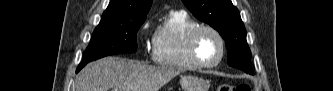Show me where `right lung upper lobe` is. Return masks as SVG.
Here are the masks:
<instances>
[{
    "label": "right lung upper lobe",
    "instance_id": "right-lung-upper-lobe-1",
    "mask_svg": "<svg viewBox=\"0 0 333 91\" xmlns=\"http://www.w3.org/2000/svg\"><path fill=\"white\" fill-rule=\"evenodd\" d=\"M152 0H111L102 18L133 19L146 17Z\"/></svg>",
    "mask_w": 333,
    "mask_h": 91
}]
</instances>
